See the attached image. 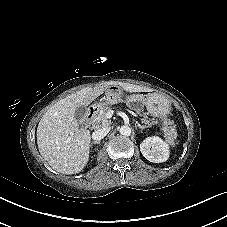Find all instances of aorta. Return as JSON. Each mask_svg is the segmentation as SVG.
Listing matches in <instances>:
<instances>
[{
	"label": "aorta",
	"mask_w": 227,
	"mask_h": 227,
	"mask_svg": "<svg viewBox=\"0 0 227 227\" xmlns=\"http://www.w3.org/2000/svg\"><path fill=\"white\" fill-rule=\"evenodd\" d=\"M119 132L123 136H130L131 128L128 125H123L120 127Z\"/></svg>",
	"instance_id": "aorta-1"
}]
</instances>
